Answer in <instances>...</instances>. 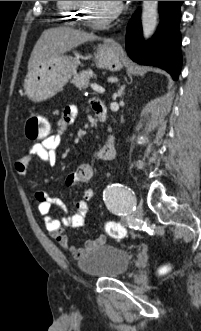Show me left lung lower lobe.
Segmentation results:
<instances>
[{
  "instance_id": "1",
  "label": "left lung lower lobe",
  "mask_w": 201,
  "mask_h": 331,
  "mask_svg": "<svg viewBox=\"0 0 201 331\" xmlns=\"http://www.w3.org/2000/svg\"><path fill=\"white\" fill-rule=\"evenodd\" d=\"M183 1H159L160 25L149 42L142 40L139 11L131 18L126 32V50L132 60L168 71L177 80L182 58L179 32L180 6Z\"/></svg>"
}]
</instances>
